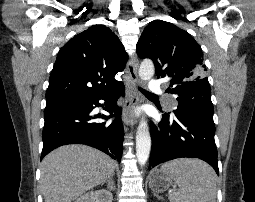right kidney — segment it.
Segmentation results:
<instances>
[{
    "mask_svg": "<svg viewBox=\"0 0 255 202\" xmlns=\"http://www.w3.org/2000/svg\"><path fill=\"white\" fill-rule=\"evenodd\" d=\"M113 196L106 190L88 192L80 196L75 202H112Z\"/></svg>",
    "mask_w": 255,
    "mask_h": 202,
    "instance_id": "1",
    "label": "right kidney"
}]
</instances>
